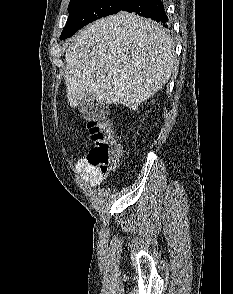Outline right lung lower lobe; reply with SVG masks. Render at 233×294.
I'll use <instances>...</instances> for the list:
<instances>
[{
  "label": "right lung lower lobe",
  "instance_id": "1",
  "mask_svg": "<svg viewBox=\"0 0 233 294\" xmlns=\"http://www.w3.org/2000/svg\"><path fill=\"white\" fill-rule=\"evenodd\" d=\"M121 10L151 18L167 27L168 17L161 0H127Z\"/></svg>",
  "mask_w": 233,
  "mask_h": 294
}]
</instances>
